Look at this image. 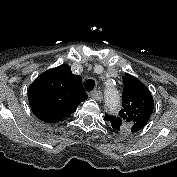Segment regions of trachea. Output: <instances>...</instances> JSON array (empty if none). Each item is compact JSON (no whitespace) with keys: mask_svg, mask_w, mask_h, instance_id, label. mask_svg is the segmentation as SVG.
<instances>
[{"mask_svg":"<svg viewBox=\"0 0 177 177\" xmlns=\"http://www.w3.org/2000/svg\"><path fill=\"white\" fill-rule=\"evenodd\" d=\"M95 86V81L92 79H88L85 84V88L88 92L92 91Z\"/></svg>","mask_w":177,"mask_h":177,"instance_id":"trachea-1","label":"trachea"}]
</instances>
